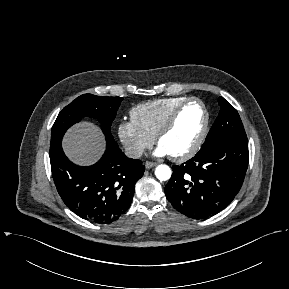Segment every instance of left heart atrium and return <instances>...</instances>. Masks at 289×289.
Segmentation results:
<instances>
[{
	"mask_svg": "<svg viewBox=\"0 0 289 289\" xmlns=\"http://www.w3.org/2000/svg\"><path fill=\"white\" fill-rule=\"evenodd\" d=\"M155 155L157 156H166V155H169L168 152L163 149L161 146H159L156 151H155Z\"/></svg>",
	"mask_w": 289,
	"mask_h": 289,
	"instance_id": "left-heart-atrium-1",
	"label": "left heart atrium"
}]
</instances>
